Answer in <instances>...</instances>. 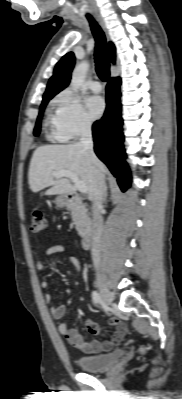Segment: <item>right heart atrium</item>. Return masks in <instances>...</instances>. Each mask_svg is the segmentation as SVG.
I'll return each mask as SVG.
<instances>
[{"instance_id":"1","label":"right heart atrium","mask_w":182,"mask_h":399,"mask_svg":"<svg viewBox=\"0 0 182 399\" xmlns=\"http://www.w3.org/2000/svg\"><path fill=\"white\" fill-rule=\"evenodd\" d=\"M56 126L62 140L75 139L87 133L92 127L81 101L69 91L55 99Z\"/></svg>"}]
</instances>
